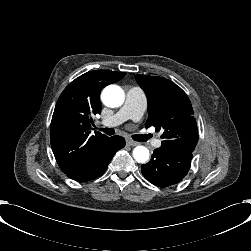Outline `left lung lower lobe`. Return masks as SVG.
Segmentation results:
<instances>
[{
	"label": "left lung lower lobe",
	"instance_id": "obj_1",
	"mask_svg": "<svg viewBox=\"0 0 251 251\" xmlns=\"http://www.w3.org/2000/svg\"><path fill=\"white\" fill-rule=\"evenodd\" d=\"M192 153L171 151L165 148L155 149L151 160L143 164L141 172L152 184L168 187L179 183L188 173Z\"/></svg>",
	"mask_w": 251,
	"mask_h": 251
}]
</instances>
